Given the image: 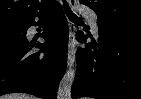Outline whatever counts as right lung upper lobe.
Wrapping results in <instances>:
<instances>
[{"label": "right lung upper lobe", "instance_id": "right-lung-upper-lobe-1", "mask_svg": "<svg viewBox=\"0 0 141 99\" xmlns=\"http://www.w3.org/2000/svg\"><path fill=\"white\" fill-rule=\"evenodd\" d=\"M55 5L54 0H0V22L46 14Z\"/></svg>", "mask_w": 141, "mask_h": 99}]
</instances>
